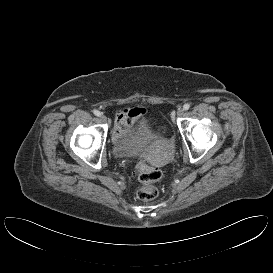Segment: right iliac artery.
<instances>
[{"label": "right iliac artery", "instance_id": "82829eb1", "mask_svg": "<svg viewBox=\"0 0 273 273\" xmlns=\"http://www.w3.org/2000/svg\"><path fill=\"white\" fill-rule=\"evenodd\" d=\"M93 113H94L96 116H100V115H101L100 111H98V110H94Z\"/></svg>", "mask_w": 273, "mask_h": 273}]
</instances>
